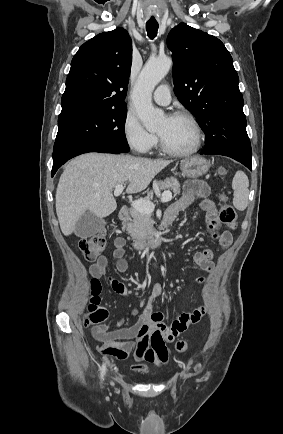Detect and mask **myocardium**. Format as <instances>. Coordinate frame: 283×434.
<instances>
[{"label": "myocardium", "instance_id": "1", "mask_svg": "<svg viewBox=\"0 0 283 434\" xmlns=\"http://www.w3.org/2000/svg\"><path fill=\"white\" fill-rule=\"evenodd\" d=\"M167 117L171 119L182 118L187 120L192 126L194 131V143L192 147H190L187 150H174L170 148L165 143L163 138L158 134V139L162 151L174 157H187L195 154L200 149L202 145V138H203L202 129L197 119L191 113L183 110L172 112Z\"/></svg>", "mask_w": 283, "mask_h": 434}]
</instances>
